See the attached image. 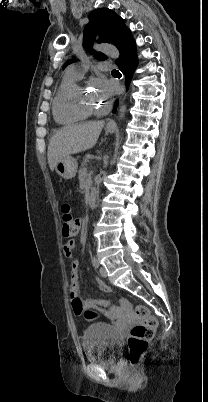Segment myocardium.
Returning a JSON list of instances; mask_svg holds the SVG:
<instances>
[{
  "label": "myocardium",
  "instance_id": "1",
  "mask_svg": "<svg viewBox=\"0 0 208 402\" xmlns=\"http://www.w3.org/2000/svg\"><path fill=\"white\" fill-rule=\"evenodd\" d=\"M83 96L84 88L82 86H77L71 93V96L69 98V106L75 113L79 115H90L96 111L97 106H86L82 100Z\"/></svg>",
  "mask_w": 208,
  "mask_h": 402
}]
</instances>
